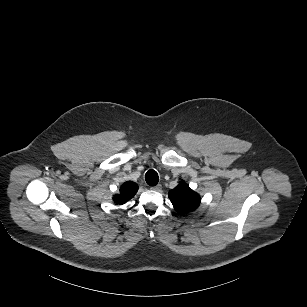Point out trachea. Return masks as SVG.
<instances>
[{
    "label": "trachea",
    "mask_w": 307,
    "mask_h": 307,
    "mask_svg": "<svg viewBox=\"0 0 307 307\" xmlns=\"http://www.w3.org/2000/svg\"><path fill=\"white\" fill-rule=\"evenodd\" d=\"M146 183L150 186H154L158 183L159 177L155 170H149L145 175Z\"/></svg>",
    "instance_id": "3493384b"
}]
</instances>
